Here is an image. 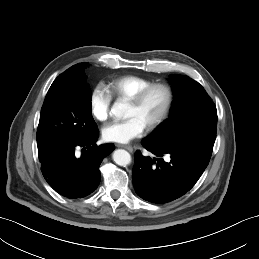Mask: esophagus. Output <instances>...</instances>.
<instances>
[{"label":"esophagus","mask_w":259,"mask_h":259,"mask_svg":"<svg viewBox=\"0 0 259 259\" xmlns=\"http://www.w3.org/2000/svg\"><path fill=\"white\" fill-rule=\"evenodd\" d=\"M116 146L119 148H124V149L128 150L129 152H133V148L129 145L117 144Z\"/></svg>","instance_id":"esophagus-1"}]
</instances>
